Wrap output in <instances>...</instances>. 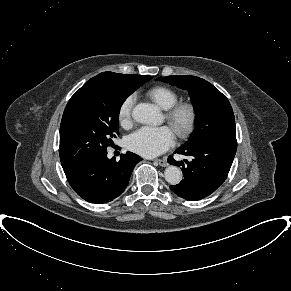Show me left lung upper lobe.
<instances>
[{
  "label": "left lung upper lobe",
  "mask_w": 291,
  "mask_h": 291,
  "mask_svg": "<svg viewBox=\"0 0 291 291\" xmlns=\"http://www.w3.org/2000/svg\"><path fill=\"white\" fill-rule=\"evenodd\" d=\"M157 80L187 89L195 106L196 127L183 146L196 145L214 137H236L232 107L228 99L212 84L196 76H167Z\"/></svg>",
  "instance_id": "1"
}]
</instances>
